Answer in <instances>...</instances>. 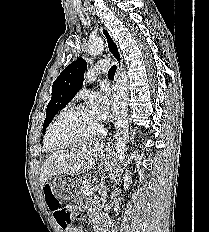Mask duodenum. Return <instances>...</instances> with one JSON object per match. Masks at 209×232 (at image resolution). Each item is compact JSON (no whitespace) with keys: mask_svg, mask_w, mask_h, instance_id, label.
Wrapping results in <instances>:
<instances>
[{"mask_svg":"<svg viewBox=\"0 0 209 232\" xmlns=\"http://www.w3.org/2000/svg\"><path fill=\"white\" fill-rule=\"evenodd\" d=\"M97 232H102V224L98 223L96 227Z\"/></svg>","mask_w":209,"mask_h":232,"instance_id":"410a0bca","label":"duodenum"}]
</instances>
